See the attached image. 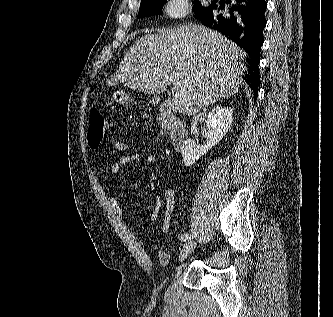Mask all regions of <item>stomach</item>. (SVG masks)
I'll list each match as a JSON object with an SVG mask.
<instances>
[{
    "label": "stomach",
    "mask_w": 333,
    "mask_h": 317,
    "mask_svg": "<svg viewBox=\"0 0 333 317\" xmlns=\"http://www.w3.org/2000/svg\"><path fill=\"white\" fill-rule=\"evenodd\" d=\"M112 100L121 105H128V103L132 100L130 95L125 93V91L119 89L113 92Z\"/></svg>",
    "instance_id": "obj_1"
}]
</instances>
